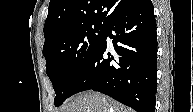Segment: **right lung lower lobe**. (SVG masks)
I'll list each match as a JSON object with an SVG mask.
<instances>
[{
	"instance_id": "98d812e1",
	"label": "right lung lower lobe",
	"mask_w": 193,
	"mask_h": 112,
	"mask_svg": "<svg viewBox=\"0 0 193 112\" xmlns=\"http://www.w3.org/2000/svg\"><path fill=\"white\" fill-rule=\"evenodd\" d=\"M112 39L114 56L106 52ZM157 34L151 0H139L106 25L97 49L78 76L70 96L94 90L137 112H154L157 91Z\"/></svg>"
}]
</instances>
